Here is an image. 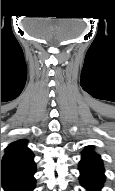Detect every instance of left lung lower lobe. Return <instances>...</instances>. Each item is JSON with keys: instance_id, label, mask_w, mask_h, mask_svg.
<instances>
[{"instance_id": "left-lung-lower-lobe-1", "label": "left lung lower lobe", "mask_w": 115, "mask_h": 191, "mask_svg": "<svg viewBox=\"0 0 115 191\" xmlns=\"http://www.w3.org/2000/svg\"><path fill=\"white\" fill-rule=\"evenodd\" d=\"M80 183L87 191H101L105 181L102 160L82 158L79 163Z\"/></svg>"}]
</instances>
